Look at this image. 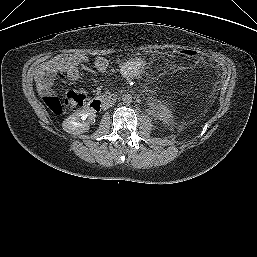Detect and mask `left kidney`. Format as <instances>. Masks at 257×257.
Wrapping results in <instances>:
<instances>
[{
    "mask_svg": "<svg viewBox=\"0 0 257 257\" xmlns=\"http://www.w3.org/2000/svg\"><path fill=\"white\" fill-rule=\"evenodd\" d=\"M158 116L165 122L171 121L172 114L171 111L166 106H160Z\"/></svg>",
    "mask_w": 257,
    "mask_h": 257,
    "instance_id": "1",
    "label": "left kidney"
}]
</instances>
